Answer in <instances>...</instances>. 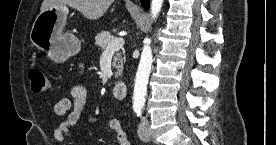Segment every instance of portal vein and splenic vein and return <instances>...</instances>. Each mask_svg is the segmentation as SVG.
I'll list each match as a JSON object with an SVG mask.
<instances>
[{"label": "portal vein and splenic vein", "instance_id": "18ae733b", "mask_svg": "<svg viewBox=\"0 0 276 145\" xmlns=\"http://www.w3.org/2000/svg\"><path fill=\"white\" fill-rule=\"evenodd\" d=\"M124 45V39L121 37L114 38L112 41L109 42L105 51H116Z\"/></svg>", "mask_w": 276, "mask_h": 145}]
</instances>
